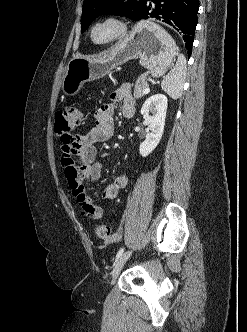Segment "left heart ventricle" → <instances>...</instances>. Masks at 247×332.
<instances>
[{"label":"left heart ventricle","mask_w":247,"mask_h":332,"mask_svg":"<svg viewBox=\"0 0 247 332\" xmlns=\"http://www.w3.org/2000/svg\"><path fill=\"white\" fill-rule=\"evenodd\" d=\"M116 32L113 25L105 24L96 28L94 32V38L97 41H104L112 37Z\"/></svg>","instance_id":"b2bd125f"}]
</instances>
